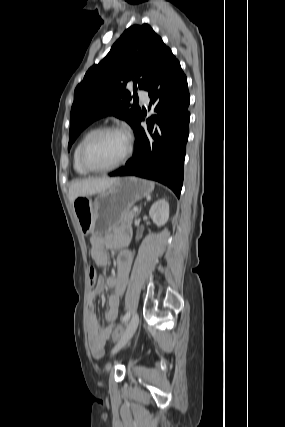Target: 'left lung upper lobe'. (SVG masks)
Masks as SVG:
<instances>
[{
    "mask_svg": "<svg viewBox=\"0 0 285 427\" xmlns=\"http://www.w3.org/2000/svg\"><path fill=\"white\" fill-rule=\"evenodd\" d=\"M171 50L148 24L129 27L107 56L92 66L76 87L70 116L69 145L94 120L114 115L134 128L141 110L131 105L128 82L146 90Z\"/></svg>",
    "mask_w": 285,
    "mask_h": 427,
    "instance_id": "left-lung-upper-lobe-1",
    "label": "left lung upper lobe"
}]
</instances>
